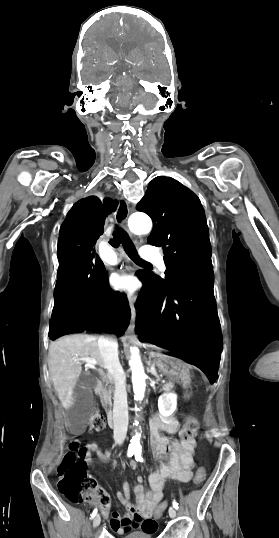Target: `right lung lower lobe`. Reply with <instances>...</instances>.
<instances>
[{
  "label": "right lung lower lobe",
  "mask_w": 279,
  "mask_h": 538,
  "mask_svg": "<svg viewBox=\"0 0 279 538\" xmlns=\"http://www.w3.org/2000/svg\"><path fill=\"white\" fill-rule=\"evenodd\" d=\"M117 204L111 200L102 204L96 196L83 198L74 204L61 225L51 339L84 330L122 335L129 325L128 301L111 290L94 248L103 234L106 216L115 211Z\"/></svg>",
  "instance_id": "right-lung-lower-lobe-1"
}]
</instances>
